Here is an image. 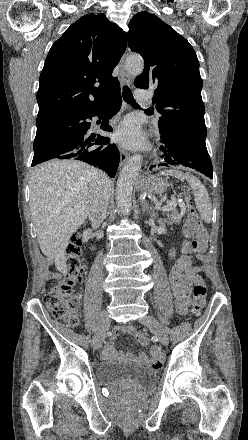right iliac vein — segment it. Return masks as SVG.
<instances>
[{
    "label": "right iliac vein",
    "instance_id": "63e3f726",
    "mask_svg": "<svg viewBox=\"0 0 248 440\" xmlns=\"http://www.w3.org/2000/svg\"><path fill=\"white\" fill-rule=\"evenodd\" d=\"M110 322L111 321H110L108 314L105 313L102 316L100 323H99V326L93 336L92 346L94 349H98L102 345V342L105 338L106 332L109 329Z\"/></svg>",
    "mask_w": 248,
    "mask_h": 440
}]
</instances>
